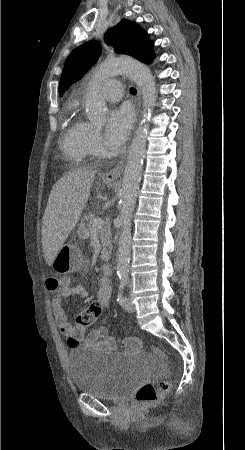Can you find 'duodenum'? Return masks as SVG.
I'll return each mask as SVG.
<instances>
[{"instance_id": "410a0bca", "label": "duodenum", "mask_w": 245, "mask_h": 450, "mask_svg": "<svg viewBox=\"0 0 245 450\" xmlns=\"http://www.w3.org/2000/svg\"><path fill=\"white\" fill-rule=\"evenodd\" d=\"M102 273L106 274V275H111L112 271H113V265L111 262H106L102 268H101Z\"/></svg>"}]
</instances>
